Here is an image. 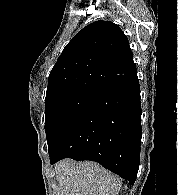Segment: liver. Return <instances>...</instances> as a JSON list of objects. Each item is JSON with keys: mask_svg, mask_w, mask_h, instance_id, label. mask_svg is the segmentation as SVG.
Returning a JSON list of instances; mask_svg holds the SVG:
<instances>
[{"mask_svg": "<svg viewBox=\"0 0 178 195\" xmlns=\"http://www.w3.org/2000/svg\"><path fill=\"white\" fill-rule=\"evenodd\" d=\"M57 195H118L122 180L95 162L60 161L55 166Z\"/></svg>", "mask_w": 178, "mask_h": 195, "instance_id": "6515ba94", "label": "liver"}]
</instances>
